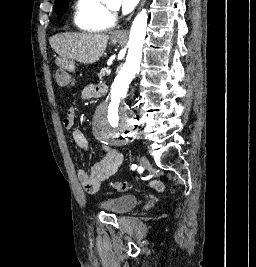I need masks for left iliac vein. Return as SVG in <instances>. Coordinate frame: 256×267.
Wrapping results in <instances>:
<instances>
[{
  "label": "left iliac vein",
  "instance_id": "4c4485c4",
  "mask_svg": "<svg viewBox=\"0 0 256 267\" xmlns=\"http://www.w3.org/2000/svg\"><path fill=\"white\" fill-rule=\"evenodd\" d=\"M139 164L142 167H146L148 165V159L145 156H141L139 159Z\"/></svg>",
  "mask_w": 256,
  "mask_h": 267
}]
</instances>
